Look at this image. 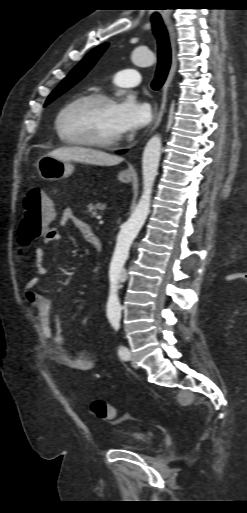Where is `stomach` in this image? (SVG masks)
<instances>
[{"label": "stomach", "instance_id": "stomach-1", "mask_svg": "<svg viewBox=\"0 0 247 513\" xmlns=\"http://www.w3.org/2000/svg\"><path fill=\"white\" fill-rule=\"evenodd\" d=\"M37 170L42 179L55 181L70 176L74 171V165L70 161L45 155L38 160ZM118 180L123 183H129L132 180V176L123 171L118 174Z\"/></svg>", "mask_w": 247, "mask_h": 513}]
</instances>
